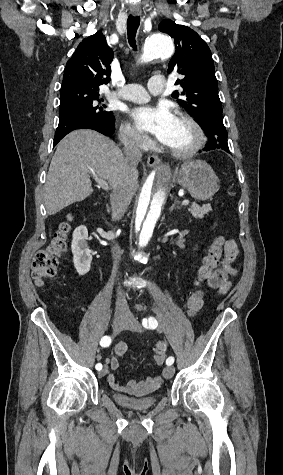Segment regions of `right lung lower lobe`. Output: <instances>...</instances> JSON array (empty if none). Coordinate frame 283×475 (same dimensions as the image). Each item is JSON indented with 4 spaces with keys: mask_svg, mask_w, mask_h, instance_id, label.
<instances>
[{
    "mask_svg": "<svg viewBox=\"0 0 283 475\" xmlns=\"http://www.w3.org/2000/svg\"><path fill=\"white\" fill-rule=\"evenodd\" d=\"M76 129H92L106 136H111L115 130L113 121L95 120L84 113H71L59 117V125L55 133L54 146L68 133Z\"/></svg>",
    "mask_w": 283,
    "mask_h": 475,
    "instance_id": "obj_1",
    "label": "right lung lower lobe"
}]
</instances>
